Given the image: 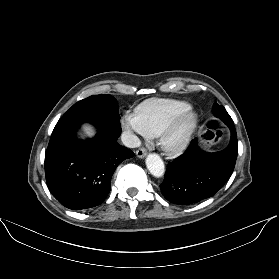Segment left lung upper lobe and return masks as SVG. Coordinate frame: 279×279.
<instances>
[{"label": "left lung upper lobe", "mask_w": 279, "mask_h": 279, "mask_svg": "<svg viewBox=\"0 0 279 279\" xmlns=\"http://www.w3.org/2000/svg\"><path fill=\"white\" fill-rule=\"evenodd\" d=\"M213 113H214V115L216 117L220 118L224 122H227V121L233 122L231 117L227 113L226 109L222 105L214 103V105H213Z\"/></svg>", "instance_id": "left-lung-upper-lobe-1"}]
</instances>
